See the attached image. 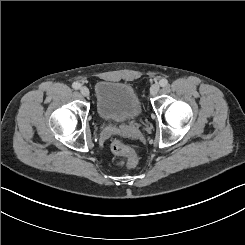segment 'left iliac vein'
<instances>
[{"mask_svg": "<svg viewBox=\"0 0 245 245\" xmlns=\"http://www.w3.org/2000/svg\"><path fill=\"white\" fill-rule=\"evenodd\" d=\"M159 85L153 84L150 88V94L151 96H155L159 92Z\"/></svg>", "mask_w": 245, "mask_h": 245, "instance_id": "4c4485c4", "label": "left iliac vein"}]
</instances>
